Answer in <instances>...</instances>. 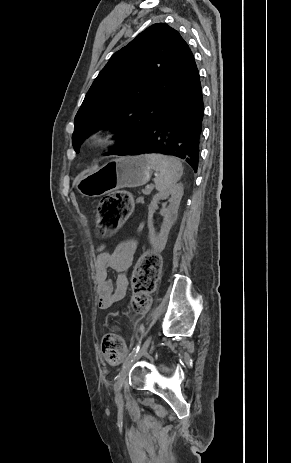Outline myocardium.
I'll return each instance as SVG.
<instances>
[{"label": "myocardium", "mask_w": 291, "mask_h": 463, "mask_svg": "<svg viewBox=\"0 0 291 463\" xmlns=\"http://www.w3.org/2000/svg\"><path fill=\"white\" fill-rule=\"evenodd\" d=\"M119 140V132L111 126L94 129L89 135V141L95 145H111Z\"/></svg>", "instance_id": "f54148a6"}]
</instances>
